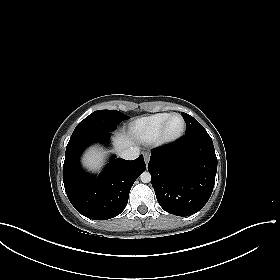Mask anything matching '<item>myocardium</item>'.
<instances>
[{"instance_id":"myocardium-1","label":"myocardium","mask_w":280,"mask_h":280,"mask_svg":"<svg viewBox=\"0 0 280 280\" xmlns=\"http://www.w3.org/2000/svg\"><path fill=\"white\" fill-rule=\"evenodd\" d=\"M173 117L181 118L183 126H182L181 131L178 134H176L174 136H168V134H167V127H168V124H169L170 120ZM185 131H186V120L183 117V115H181L179 113H172L165 120L163 125L161 126L160 131H159V136L156 139H157L158 144L161 145V146L171 145V144L176 143L179 139H181L183 137V135L185 134Z\"/></svg>"}]
</instances>
